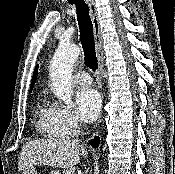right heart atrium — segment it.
Wrapping results in <instances>:
<instances>
[{"label":"right heart atrium","instance_id":"right-heart-atrium-1","mask_svg":"<svg viewBox=\"0 0 175 174\" xmlns=\"http://www.w3.org/2000/svg\"><path fill=\"white\" fill-rule=\"evenodd\" d=\"M52 108L55 124L64 136H73L79 132L82 124L73 110L57 102Z\"/></svg>","mask_w":175,"mask_h":174}]
</instances>
